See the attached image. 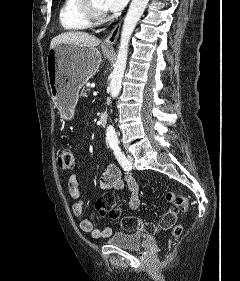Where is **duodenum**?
<instances>
[{
	"label": "duodenum",
	"instance_id": "obj_1",
	"mask_svg": "<svg viewBox=\"0 0 240 281\" xmlns=\"http://www.w3.org/2000/svg\"><path fill=\"white\" fill-rule=\"evenodd\" d=\"M108 120V114L105 111L99 112V122L102 126H106Z\"/></svg>",
	"mask_w": 240,
	"mask_h": 281
}]
</instances>
